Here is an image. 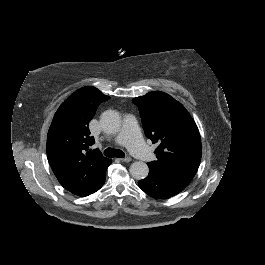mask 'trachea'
<instances>
[{
	"instance_id": "3493384b",
	"label": "trachea",
	"mask_w": 265,
	"mask_h": 265,
	"mask_svg": "<svg viewBox=\"0 0 265 265\" xmlns=\"http://www.w3.org/2000/svg\"><path fill=\"white\" fill-rule=\"evenodd\" d=\"M104 154L105 156L109 158H113V157L124 158V152L119 149L107 148Z\"/></svg>"
}]
</instances>
